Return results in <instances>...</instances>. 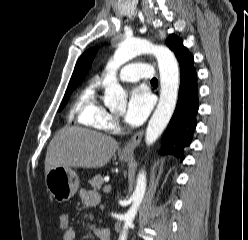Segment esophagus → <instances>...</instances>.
Segmentation results:
<instances>
[{"label": "esophagus", "mask_w": 248, "mask_h": 240, "mask_svg": "<svg viewBox=\"0 0 248 240\" xmlns=\"http://www.w3.org/2000/svg\"><path fill=\"white\" fill-rule=\"evenodd\" d=\"M143 136V131H139L136 133L129 142L123 147L121 153L124 155L133 154L135 148L140 144Z\"/></svg>", "instance_id": "obj_1"}]
</instances>
